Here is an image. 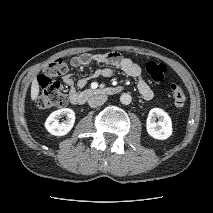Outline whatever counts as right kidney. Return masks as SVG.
Wrapping results in <instances>:
<instances>
[{
  "label": "right kidney",
  "mask_w": 213,
  "mask_h": 213,
  "mask_svg": "<svg viewBox=\"0 0 213 213\" xmlns=\"http://www.w3.org/2000/svg\"><path fill=\"white\" fill-rule=\"evenodd\" d=\"M62 116H66L64 122H59ZM75 113L70 108H62L52 112L45 122V128L47 131L55 136L66 135L74 126Z\"/></svg>",
  "instance_id": "ca27d5eb"
}]
</instances>
